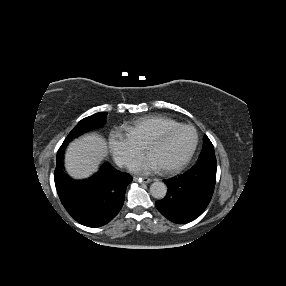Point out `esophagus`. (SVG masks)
Returning a JSON list of instances; mask_svg holds the SVG:
<instances>
[{
  "label": "esophagus",
  "mask_w": 286,
  "mask_h": 286,
  "mask_svg": "<svg viewBox=\"0 0 286 286\" xmlns=\"http://www.w3.org/2000/svg\"><path fill=\"white\" fill-rule=\"evenodd\" d=\"M134 180L140 183H150L152 181V179L148 177H140V178L134 177Z\"/></svg>",
  "instance_id": "34e87169"
}]
</instances>
